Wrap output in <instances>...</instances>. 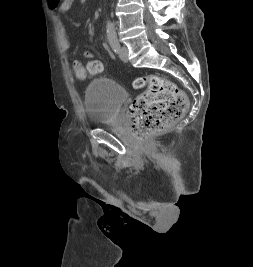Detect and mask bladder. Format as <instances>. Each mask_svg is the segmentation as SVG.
Wrapping results in <instances>:
<instances>
[{"label": "bladder", "instance_id": "1", "mask_svg": "<svg viewBox=\"0 0 253 267\" xmlns=\"http://www.w3.org/2000/svg\"><path fill=\"white\" fill-rule=\"evenodd\" d=\"M127 98L126 90L108 78L93 79L84 91L87 120L95 126L112 123Z\"/></svg>", "mask_w": 253, "mask_h": 267}]
</instances>
